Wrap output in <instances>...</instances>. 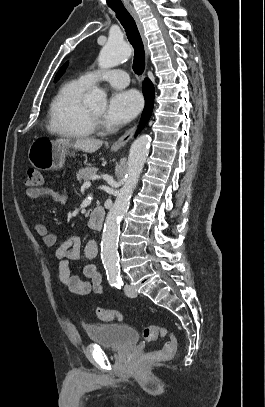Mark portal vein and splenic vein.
Masks as SVG:
<instances>
[{
	"label": "portal vein and splenic vein",
	"mask_w": 265,
	"mask_h": 407,
	"mask_svg": "<svg viewBox=\"0 0 265 407\" xmlns=\"http://www.w3.org/2000/svg\"><path fill=\"white\" fill-rule=\"evenodd\" d=\"M91 186V183L89 181H86L83 183V187L88 188Z\"/></svg>",
	"instance_id": "obj_1"
}]
</instances>
